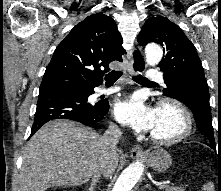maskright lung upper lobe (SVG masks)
Returning a JSON list of instances; mask_svg holds the SVG:
<instances>
[{
	"mask_svg": "<svg viewBox=\"0 0 221 191\" xmlns=\"http://www.w3.org/2000/svg\"><path fill=\"white\" fill-rule=\"evenodd\" d=\"M124 53L115 21L103 13L90 15L57 46L40 90L56 87L93 89L102 83L109 63L122 61Z\"/></svg>",
	"mask_w": 221,
	"mask_h": 191,
	"instance_id": "cb5924a9",
	"label": "right lung upper lobe"
}]
</instances>
